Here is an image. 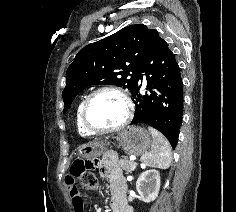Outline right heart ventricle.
<instances>
[{"instance_id":"obj_1","label":"right heart ventricle","mask_w":236,"mask_h":212,"mask_svg":"<svg viewBox=\"0 0 236 212\" xmlns=\"http://www.w3.org/2000/svg\"><path fill=\"white\" fill-rule=\"evenodd\" d=\"M84 99H82L76 106V110H75V126H76V130L78 132V134L82 137H88L91 136L92 134L89 133L84 126L82 125L81 122V108H82V104H83Z\"/></svg>"}]
</instances>
